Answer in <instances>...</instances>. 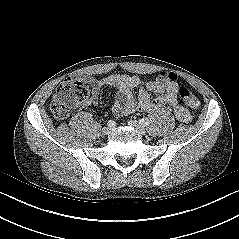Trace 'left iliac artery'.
<instances>
[{"mask_svg": "<svg viewBox=\"0 0 239 239\" xmlns=\"http://www.w3.org/2000/svg\"><path fill=\"white\" fill-rule=\"evenodd\" d=\"M139 123L143 126L149 125V120L147 118H142L139 120Z\"/></svg>", "mask_w": 239, "mask_h": 239, "instance_id": "obj_1", "label": "left iliac artery"}]
</instances>
